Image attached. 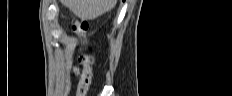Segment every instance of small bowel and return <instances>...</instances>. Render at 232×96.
I'll use <instances>...</instances> for the list:
<instances>
[{
    "label": "small bowel",
    "mask_w": 232,
    "mask_h": 96,
    "mask_svg": "<svg viewBox=\"0 0 232 96\" xmlns=\"http://www.w3.org/2000/svg\"><path fill=\"white\" fill-rule=\"evenodd\" d=\"M91 68L89 66H84L83 67V70H82V74H81V79H80V82H79V88L80 87H84L85 89L88 87L89 85V81H90V78H91ZM86 79V81H85Z\"/></svg>",
    "instance_id": "obj_1"
}]
</instances>
